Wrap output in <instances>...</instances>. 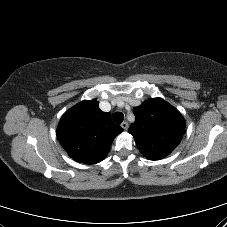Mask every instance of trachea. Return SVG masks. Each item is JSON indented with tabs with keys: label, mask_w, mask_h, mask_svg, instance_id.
Segmentation results:
<instances>
[{
	"label": "trachea",
	"mask_w": 227,
	"mask_h": 227,
	"mask_svg": "<svg viewBox=\"0 0 227 227\" xmlns=\"http://www.w3.org/2000/svg\"><path fill=\"white\" fill-rule=\"evenodd\" d=\"M124 119V114L122 112H116L114 115H113V121L115 123H121Z\"/></svg>",
	"instance_id": "obj_1"
}]
</instances>
